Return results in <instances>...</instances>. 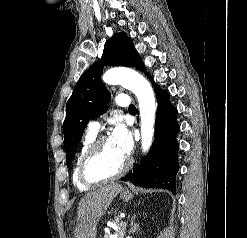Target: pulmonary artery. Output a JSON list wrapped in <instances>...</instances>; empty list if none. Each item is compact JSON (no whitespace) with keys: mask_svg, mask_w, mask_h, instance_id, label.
Returning a JSON list of instances; mask_svg holds the SVG:
<instances>
[{"mask_svg":"<svg viewBox=\"0 0 247 238\" xmlns=\"http://www.w3.org/2000/svg\"><path fill=\"white\" fill-rule=\"evenodd\" d=\"M115 102L120 107H128L130 105V99L125 94H120L116 97ZM100 128V122L97 119H93L88 124V130L97 132Z\"/></svg>","mask_w":247,"mask_h":238,"instance_id":"e3ab8cb5","label":"pulmonary artery"}]
</instances>
